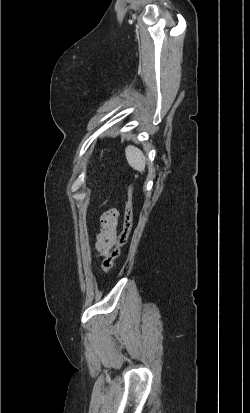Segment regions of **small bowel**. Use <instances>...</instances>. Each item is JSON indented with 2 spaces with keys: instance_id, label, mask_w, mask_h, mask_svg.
Here are the masks:
<instances>
[{
  "instance_id": "c3829d8e",
  "label": "small bowel",
  "mask_w": 250,
  "mask_h": 413,
  "mask_svg": "<svg viewBox=\"0 0 250 413\" xmlns=\"http://www.w3.org/2000/svg\"><path fill=\"white\" fill-rule=\"evenodd\" d=\"M118 226L117 210L112 209L101 217L100 230L94 243L98 257H106L114 247L117 240Z\"/></svg>"
}]
</instances>
